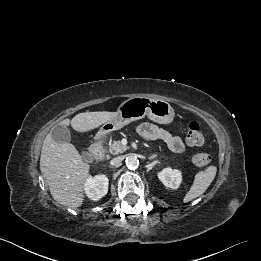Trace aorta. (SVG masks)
Here are the masks:
<instances>
[{"instance_id":"aorta-1","label":"aorta","mask_w":261,"mask_h":261,"mask_svg":"<svg viewBox=\"0 0 261 261\" xmlns=\"http://www.w3.org/2000/svg\"><path fill=\"white\" fill-rule=\"evenodd\" d=\"M126 166L129 169H137L139 166V160L137 159L136 156L130 154L126 157Z\"/></svg>"}]
</instances>
